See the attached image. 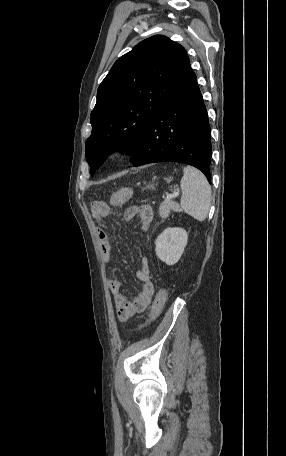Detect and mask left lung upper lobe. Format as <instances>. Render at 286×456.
<instances>
[{
  "mask_svg": "<svg viewBox=\"0 0 286 456\" xmlns=\"http://www.w3.org/2000/svg\"><path fill=\"white\" fill-rule=\"evenodd\" d=\"M191 68L185 48L163 35L137 44L101 82L91 112L85 155L92 175L106 156L131 155L151 120Z\"/></svg>",
  "mask_w": 286,
  "mask_h": 456,
  "instance_id": "obj_1",
  "label": "left lung upper lobe"
}]
</instances>
